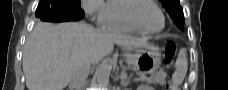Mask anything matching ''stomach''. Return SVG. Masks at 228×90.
Here are the masks:
<instances>
[{
	"mask_svg": "<svg viewBox=\"0 0 228 90\" xmlns=\"http://www.w3.org/2000/svg\"><path fill=\"white\" fill-rule=\"evenodd\" d=\"M126 60L133 68L145 73L157 70L161 64V53L158 47L147 43L142 49L127 56Z\"/></svg>",
	"mask_w": 228,
	"mask_h": 90,
	"instance_id": "stomach-1",
	"label": "stomach"
}]
</instances>
